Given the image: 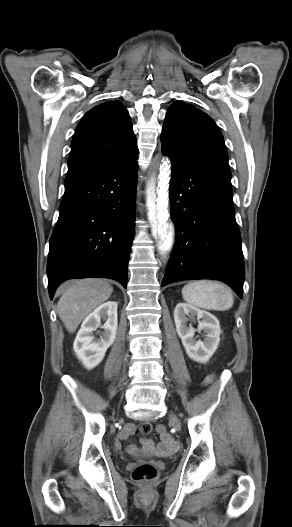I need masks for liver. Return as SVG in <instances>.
Here are the masks:
<instances>
[{"label":"liver","mask_w":292,"mask_h":527,"mask_svg":"<svg viewBox=\"0 0 292 527\" xmlns=\"http://www.w3.org/2000/svg\"><path fill=\"white\" fill-rule=\"evenodd\" d=\"M113 287L102 279H79L61 285L58 293V314L69 333L97 307L109 299Z\"/></svg>","instance_id":"1"}]
</instances>
